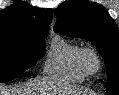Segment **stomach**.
<instances>
[{
	"label": "stomach",
	"instance_id": "1",
	"mask_svg": "<svg viewBox=\"0 0 119 95\" xmlns=\"http://www.w3.org/2000/svg\"><path fill=\"white\" fill-rule=\"evenodd\" d=\"M74 95H86V94H81L80 92H77L76 94Z\"/></svg>",
	"mask_w": 119,
	"mask_h": 95
}]
</instances>
